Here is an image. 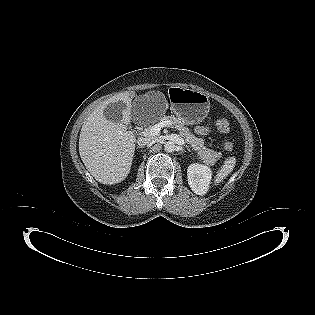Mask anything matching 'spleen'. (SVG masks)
Wrapping results in <instances>:
<instances>
[{"instance_id":"obj_1","label":"spleen","mask_w":315,"mask_h":315,"mask_svg":"<svg viewBox=\"0 0 315 315\" xmlns=\"http://www.w3.org/2000/svg\"><path fill=\"white\" fill-rule=\"evenodd\" d=\"M236 164V158L235 157H228L224 164L221 166V169L217 172L214 183L215 185L219 184L223 181L224 178H226L234 169Z\"/></svg>"}]
</instances>
